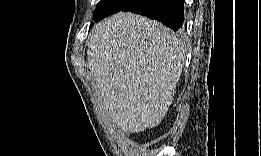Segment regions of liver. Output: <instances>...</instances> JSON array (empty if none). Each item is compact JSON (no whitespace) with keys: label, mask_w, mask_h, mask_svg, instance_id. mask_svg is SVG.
Wrapping results in <instances>:
<instances>
[{"label":"liver","mask_w":261,"mask_h":156,"mask_svg":"<svg viewBox=\"0 0 261 156\" xmlns=\"http://www.w3.org/2000/svg\"><path fill=\"white\" fill-rule=\"evenodd\" d=\"M87 46L106 116L127 133L159 125L184 67L182 40L158 21L119 12L94 26Z\"/></svg>","instance_id":"liver-1"}]
</instances>
